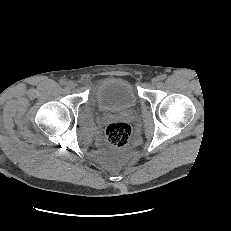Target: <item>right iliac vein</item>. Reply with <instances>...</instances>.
<instances>
[{
	"label": "right iliac vein",
	"mask_w": 231,
	"mask_h": 231,
	"mask_svg": "<svg viewBox=\"0 0 231 231\" xmlns=\"http://www.w3.org/2000/svg\"><path fill=\"white\" fill-rule=\"evenodd\" d=\"M66 85H67L68 89L75 88V83L73 81H68Z\"/></svg>",
	"instance_id": "63e3f726"
}]
</instances>
